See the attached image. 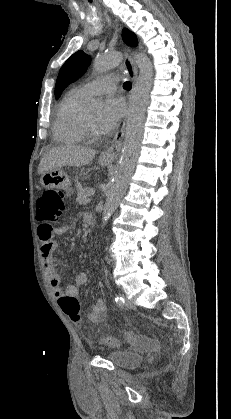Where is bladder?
Instances as JSON below:
<instances>
[{"instance_id": "obj_1", "label": "bladder", "mask_w": 231, "mask_h": 419, "mask_svg": "<svg viewBox=\"0 0 231 419\" xmlns=\"http://www.w3.org/2000/svg\"><path fill=\"white\" fill-rule=\"evenodd\" d=\"M105 357L119 368H132L140 365L143 361V356L134 352L111 349Z\"/></svg>"}]
</instances>
